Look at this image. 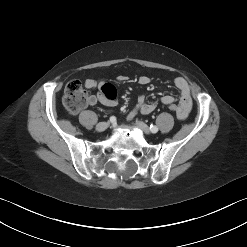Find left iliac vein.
<instances>
[{"instance_id":"left-iliac-vein-1","label":"left iliac vein","mask_w":247,"mask_h":247,"mask_svg":"<svg viewBox=\"0 0 247 247\" xmlns=\"http://www.w3.org/2000/svg\"><path fill=\"white\" fill-rule=\"evenodd\" d=\"M135 124L137 125V127H139L144 133L146 134H150V129L149 126L146 125L144 122L142 121H136Z\"/></svg>"}]
</instances>
